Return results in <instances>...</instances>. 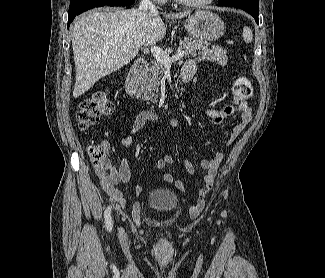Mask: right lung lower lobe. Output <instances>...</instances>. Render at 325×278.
<instances>
[{"label":"right lung lower lobe","instance_id":"right-lung-lower-lobe-1","mask_svg":"<svg viewBox=\"0 0 325 278\" xmlns=\"http://www.w3.org/2000/svg\"><path fill=\"white\" fill-rule=\"evenodd\" d=\"M135 0H71L68 13V28L75 16L100 6L131 5Z\"/></svg>","mask_w":325,"mask_h":278}]
</instances>
